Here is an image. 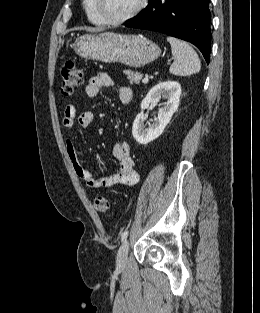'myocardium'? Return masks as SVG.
I'll use <instances>...</instances> for the list:
<instances>
[{
	"instance_id": "1",
	"label": "myocardium",
	"mask_w": 260,
	"mask_h": 313,
	"mask_svg": "<svg viewBox=\"0 0 260 313\" xmlns=\"http://www.w3.org/2000/svg\"><path fill=\"white\" fill-rule=\"evenodd\" d=\"M145 3H146V0H137L135 7L129 13L119 18H110L104 14L101 8V1L93 0V6L97 15L103 21L104 24H109V25H119L127 21H130L143 10V8L145 7Z\"/></svg>"
}]
</instances>
